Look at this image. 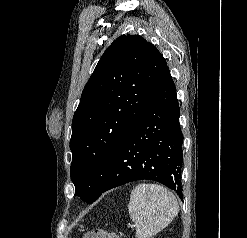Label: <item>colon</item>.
Wrapping results in <instances>:
<instances>
[{"mask_svg": "<svg viewBox=\"0 0 247 238\" xmlns=\"http://www.w3.org/2000/svg\"><path fill=\"white\" fill-rule=\"evenodd\" d=\"M82 238H119V236L112 231L105 229H94L83 235Z\"/></svg>", "mask_w": 247, "mask_h": 238, "instance_id": "obj_1", "label": "colon"}]
</instances>
